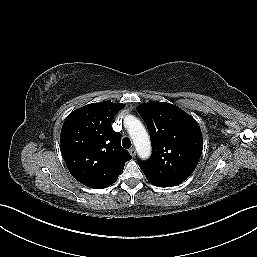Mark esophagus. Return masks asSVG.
<instances>
[{"label":"esophagus","instance_id":"1","mask_svg":"<svg viewBox=\"0 0 257 257\" xmlns=\"http://www.w3.org/2000/svg\"><path fill=\"white\" fill-rule=\"evenodd\" d=\"M129 153L131 154L132 157L136 156V150L134 148L129 149Z\"/></svg>","mask_w":257,"mask_h":257}]
</instances>
